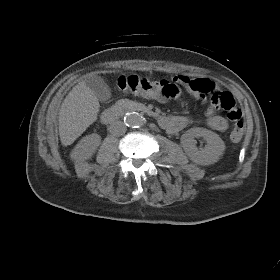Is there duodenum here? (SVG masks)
I'll return each mask as SVG.
<instances>
[{
    "mask_svg": "<svg viewBox=\"0 0 280 280\" xmlns=\"http://www.w3.org/2000/svg\"><path fill=\"white\" fill-rule=\"evenodd\" d=\"M144 111L145 108L141 105L134 104V105H120V106H114L106 109L101 116V121L104 124H111L114 121H116L123 113L126 111ZM157 120L160 126H163L166 124L167 119L164 116L157 115Z\"/></svg>",
    "mask_w": 280,
    "mask_h": 280,
    "instance_id": "410a0bca",
    "label": "duodenum"
}]
</instances>
